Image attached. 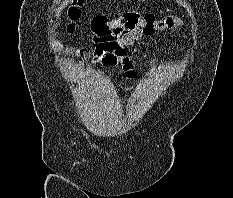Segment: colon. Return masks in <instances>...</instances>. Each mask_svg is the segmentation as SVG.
Returning <instances> with one entry per match:
<instances>
[{
	"label": "colon",
	"instance_id": "5ec220e1",
	"mask_svg": "<svg viewBox=\"0 0 233 198\" xmlns=\"http://www.w3.org/2000/svg\"><path fill=\"white\" fill-rule=\"evenodd\" d=\"M83 0H72L68 9L70 24L68 30L73 31L75 22L81 16ZM182 21L176 16L157 19L152 14H141L138 11H127L120 17L109 20L105 16H97L91 21L90 30L94 43L104 40L116 31H139L143 35H153L156 31L180 26Z\"/></svg>",
	"mask_w": 233,
	"mask_h": 198
}]
</instances>
